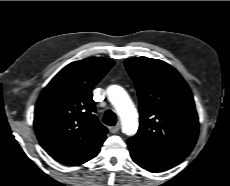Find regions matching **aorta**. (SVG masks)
I'll list each match as a JSON object with an SVG mask.
<instances>
[{
    "label": "aorta",
    "instance_id": "aorta-1",
    "mask_svg": "<svg viewBox=\"0 0 230 186\" xmlns=\"http://www.w3.org/2000/svg\"><path fill=\"white\" fill-rule=\"evenodd\" d=\"M110 103L117 111L122 130L127 135H133L138 129V115L127 92L118 85H111L107 89Z\"/></svg>",
    "mask_w": 230,
    "mask_h": 186
}]
</instances>
